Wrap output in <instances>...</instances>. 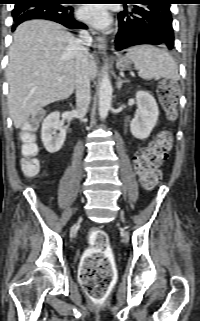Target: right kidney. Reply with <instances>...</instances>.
<instances>
[{
  "label": "right kidney",
  "instance_id": "1",
  "mask_svg": "<svg viewBox=\"0 0 200 321\" xmlns=\"http://www.w3.org/2000/svg\"><path fill=\"white\" fill-rule=\"evenodd\" d=\"M66 130L60 122V113L52 112L43 121L41 140L49 153L59 151L65 141Z\"/></svg>",
  "mask_w": 200,
  "mask_h": 321
}]
</instances>
